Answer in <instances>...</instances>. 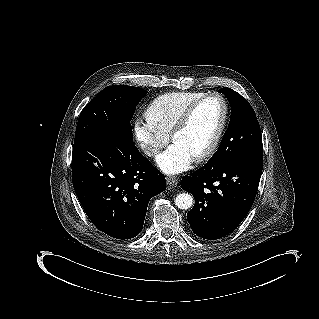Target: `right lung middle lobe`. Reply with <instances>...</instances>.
Instances as JSON below:
<instances>
[{"label": "right lung middle lobe", "mask_w": 319, "mask_h": 319, "mask_svg": "<svg viewBox=\"0 0 319 319\" xmlns=\"http://www.w3.org/2000/svg\"><path fill=\"white\" fill-rule=\"evenodd\" d=\"M146 93L133 86H107L82 110L74 145L106 137L133 144L130 121L136 106Z\"/></svg>", "instance_id": "obj_1"}]
</instances>
